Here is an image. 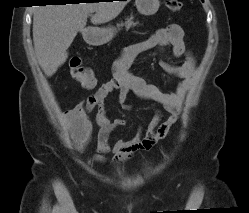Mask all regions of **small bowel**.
<instances>
[{
	"mask_svg": "<svg viewBox=\"0 0 249 213\" xmlns=\"http://www.w3.org/2000/svg\"><path fill=\"white\" fill-rule=\"evenodd\" d=\"M167 46H171L175 57H186L185 62L179 65L171 64L164 59L159 62L160 67L168 75L180 80L174 92H163L156 85L127 73V67L140 53L152 48L163 51ZM195 70V60L184 43L183 29L177 24H170L161 28L149 38L128 46L116 61L112 77L103 83L94 94L89 96L83 104L77 105L67 112L76 147L84 149L92 128L88 113L96 109V121L100 130L97 135L98 154L94 156L95 161L106 162L107 159L101 154L112 152L114 161L123 162L130 159L137 151L150 150L160 140L169 136L173 126L178 121L184 98L192 85ZM113 91H118L117 100L124 109H130V106L125 102L128 93L133 91L142 99L160 104L169 115L166 119H163L162 112L156 111L144 135L140 130L132 139H118L111 146L109 144L111 132L126 123L124 118H118L114 121L108 118L105 100Z\"/></svg>",
	"mask_w": 249,
	"mask_h": 213,
	"instance_id": "c3829d8e",
	"label": "small bowel"
}]
</instances>
